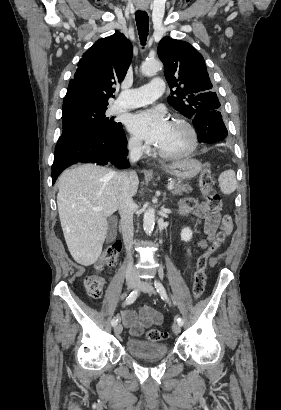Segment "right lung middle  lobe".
Here are the masks:
<instances>
[{
	"label": "right lung middle lobe",
	"mask_w": 281,
	"mask_h": 410,
	"mask_svg": "<svg viewBox=\"0 0 281 410\" xmlns=\"http://www.w3.org/2000/svg\"><path fill=\"white\" fill-rule=\"evenodd\" d=\"M107 105L75 103L62 106L63 132L57 144L86 135H108L117 133L122 124L106 117Z\"/></svg>",
	"instance_id": "obj_1"
}]
</instances>
